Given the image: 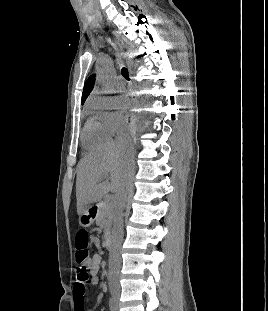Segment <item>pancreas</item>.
<instances>
[{
	"instance_id": "obj_1",
	"label": "pancreas",
	"mask_w": 268,
	"mask_h": 311,
	"mask_svg": "<svg viewBox=\"0 0 268 311\" xmlns=\"http://www.w3.org/2000/svg\"><path fill=\"white\" fill-rule=\"evenodd\" d=\"M114 205L113 200L105 199L99 207L96 224L103 229L104 237L108 235L111 229Z\"/></svg>"
}]
</instances>
